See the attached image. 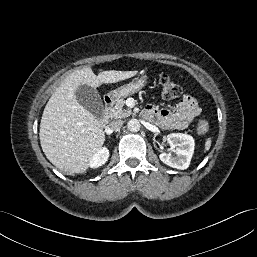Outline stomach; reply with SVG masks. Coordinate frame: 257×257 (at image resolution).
<instances>
[{
  "instance_id": "0dacf381",
  "label": "stomach",
  "mask_w": 257,
  "mask_h": 257,
  "mask_svg": "<svg viewBox=\"0 0 257 257\" xmlns=\"http://www.w3.org/2000/svg\"><path fill=\"white\" fill-rule=\"evenodd\" d=\"M147 83V75L142 74L135 78L133 81L118 87L115 90L110 91L109 97L113 101H117L122 97H126L135 94L140 89H142Z\"/></svg>"
}]
</instances>
